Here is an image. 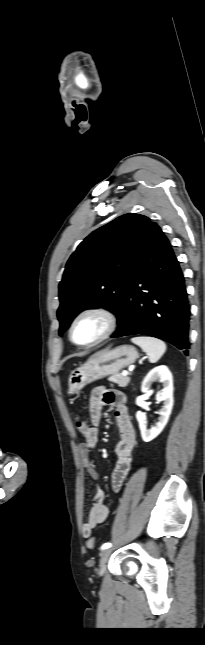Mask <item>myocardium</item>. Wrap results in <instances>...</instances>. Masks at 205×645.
Returning a JSON list of instances; mask_svg holds the SVG:
<instances>
[{
  "instance_id": "f54148a6",
  "label": "myocardium",
  "mask_w": 205,
  "mask_h": 645,
  "mask_svg": "<svg viewBox=\"0 0 205 645\" xmlns=\"http://www.w3.org/2000/svg\"><path fill=\"white\" fill-rule=\"evenodd\" d=\"M86 316L99 317L104 323V329L102 333L93 341L88 343H80V342H77L74 338V329L77 323ZM117 322H118L117 317L111 310L105 307H98V306L88 307L80 311L72 320L69 327V338L71 342L77 346L85 347V348L93 347L103 342L114 333L117 327Z\"/></svg>"
}]
</instances>
